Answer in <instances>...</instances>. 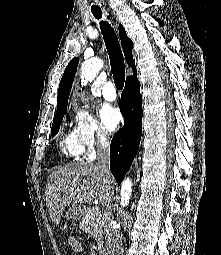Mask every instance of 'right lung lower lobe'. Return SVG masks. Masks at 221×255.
Wrapping results in <instances>:
<instances>
[{"label":"right lung lower lobe","instance_id":"98d812e1","mask_svg":"<svg viewBox=\"0 0 221 255\" xmlns=\"http://www.w3.org/2000/svg\"><path fill=\"white\" fill-rule=\"evenodd\" d=\"M120 111L125 124L114 135L110 145V170L118 184L131 166L142 134V96L137 72L126 79Z\"/></svg>","mask_w":221,"mask_h":255}]
</instances>
